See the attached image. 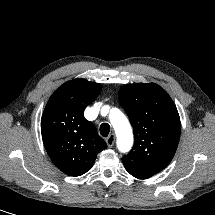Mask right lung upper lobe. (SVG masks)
Returning <instances> with one entry per match:
<instances>
[{"mask_svg":"<svg viewBox=\"0 0 215 215\" xmlns=\"http://www.w3.org/2000/svg\"><path fill=\"white\" fill-rule=\"evenodd\" d=\"M101 88L82 78L68 81L52 94L44 109L41 133L45 149L53 164L67 175L86 173L107 147L83 113Z\"/></svg>","mask_w":215,"mask_h":215,"instance_id":"obj_1","label":"right lung upper lobe"}]
</instances>
